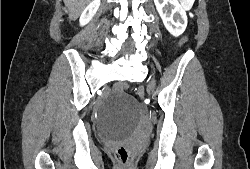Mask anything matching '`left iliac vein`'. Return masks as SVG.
I'll list each match as a JSON object with an SVG mask.
<instances>
[{
  "label": "left iliac vein",
  "instance_id": "1",
  "mask_svg": "<svg viewBox=\"0 0 250 169\" xmlns=\"http://www.w3.org/2000/svg\"><path fill=\"white\" fill-rule=\"evenodd\" d=\"M155 88V81L153 79H151V81L149 82V92H153Z\"/></svg>",
  "mask_w": 250,
  "mask_h": 169
}]
</instances>
